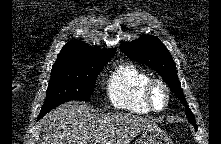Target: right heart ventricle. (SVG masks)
<instances>
[{
  "mask_svg": "<svg viewBox=\"0 0 221 144\" xmlns=\"http://www.w3.org/2000/svg\"><path fill=\"white\" fill-rule=\"evenodd\" d=\"M150 79L146 71L134 64L118 65L107 84V94L111 104L132 113H149L151 108L145 100V86Z\"/></svg>",
  "mask_w": 221,
  "mask_h": 144,
  "instance_id": "e07e8e85",
  "label": "right heart ventricle"
}]
</instances>
